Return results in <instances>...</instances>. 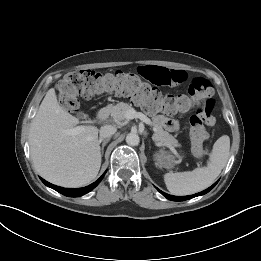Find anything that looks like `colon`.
<instances>
[{
    "label": "colon",
    "mask_w": 261,
    "mask_h": 261,
    "mask_svg": "<svg viewBox=\"0 0 261 261\" xmlns=\"http://www.w3.org/2000/svg\"><path fill=\"white\" fill-rule=\"evenodd\" d=\"M57 88L60 105L70 112L78 110L79 98L91 99L107 94L129 97L152 113L177 114L194 107L196 112L190 118V138L197 157L206 154L203 145L207 136L205 126L212 127L216 124L213 114L215 105L212 98L213 86L203 77L191 80L187 95L163 94L144 82L138 75L122 70L73 71L59 81Z\"/></svg>",
    "instance_id": "obj_1"
}]
</instances>
